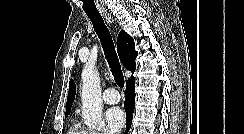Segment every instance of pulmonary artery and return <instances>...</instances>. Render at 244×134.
<instances>
[{
	"label": "pulmonary artery",
	"instance_id": "e3ab8cb5",
	"mask_svg": "<svg viewBox=\"0 0 244 134\" xmlns=\"http://www.w3.org/2000/svg\"><path fill=\"white\" fill-rule=\"evenodd\" d=\"M102 98L107 104H116L120 101V95L114 88H107L102 95Z\"/></svg>",
	"mask_w": 244,
	"mask_h": 134
}]
</instances>
